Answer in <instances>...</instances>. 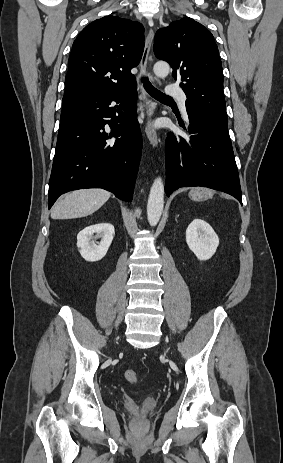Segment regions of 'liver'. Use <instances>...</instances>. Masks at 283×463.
Returning <instances> with one entry per match:
<instances>
[{"label":"liver","instance_id":"6515ba94","mask_svg":"<svg viewBox=\"0 0 283 463\" xmlns=\"http://www.w3.org/2000/svg\"><path fill=\"white\" fill-rule=\"evenodd\" d=\"M110 196V192L97 188L72 191L54 205L51 218L74 219L91 215L103 206Z\"/></svg>","mask_w":283,"mask_h":463}]
</instances>
